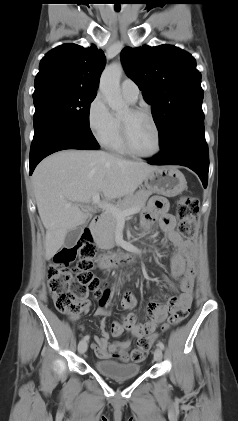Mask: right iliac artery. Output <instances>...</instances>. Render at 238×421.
<instances>
[{
  "instance_id": "1",
  "label": "right iliac artery",
  "mask_w": 238,
  "mask_h": 421,
  "mask_svg": "<svg viewBox=\"0 0 238 421\" xmlns=\"http://www.w3.org/2000/svg\"><path fill=\"white\" fill-rule=\"evenodd\" d=\"M84 340H88L89 339V335L84 336L83 338Z\"/></svg>"
}]
</instances>
